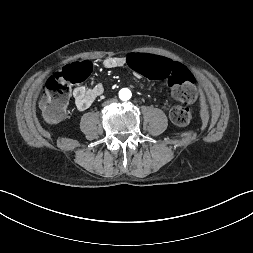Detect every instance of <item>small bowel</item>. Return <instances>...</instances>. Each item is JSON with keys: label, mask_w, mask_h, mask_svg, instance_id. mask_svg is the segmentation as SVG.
Returning <instances> with one entry per match:
<instances>
[{"label": "small bowel", "mask_w": 253, "mask_h": 253, "mask_svg": "<svg viewBox=\"0 0 253 253\" xmlns=\"http://www.w3.org/2000/svg\"><path fill=\"white\" fill-rule=\"evenodd\" d=\"M127 58L128 56L127 57L109 56L103 60V66L107 69L122 68L126 66ZM102 93H103L102 85L96 84L92 87L78 86L73 90L72 95L76 107L79 110H86Z\"/></svg>", "instance_id": "obj_1"}]
</instances>
